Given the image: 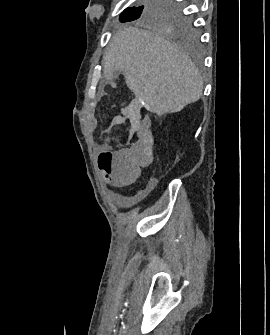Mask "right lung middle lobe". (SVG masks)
<instances>
[{
    "label": "right lung middle lobe",
    "instance_id": "1",
    "mask_svg": "<svg viewBox=\"0 0 270 335\" xmlns=\"http://www.w3.org/2000/svg\"><path fill=\"white\" fill-rule=\"evenodd\" d=\"M178 0H142L143 5L129 7L120 15L121 22L139 19L162 30L181 44L196 45L198 32L192 19L184 14V4Z\"/></svg>",
    "mask_w": 270,
    "mask_h": 335
}]
</instances>
